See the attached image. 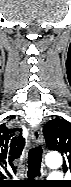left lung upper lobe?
<instances>
[{
	"label": "left lung upper lobe",
	"instance_id": "1",
	"mask_svg": "<svg viewBox=\"0 0 71 187\" xmlns=\"http://www.w3.org/2000/svg\"><path fill=\"white\" fill-rule=\"evenodd\" d=\"M47 146L50 150L64 155L63 171L71 169V123L63 118L49 121L43 128Z\"/></svg>",
	"mask_w": 71,
	"mask_h": 187
}]
</instances>
